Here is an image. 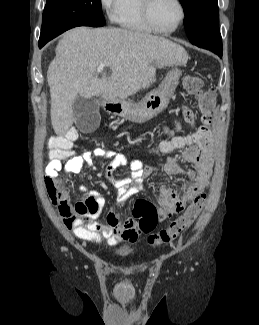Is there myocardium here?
Listing matches in <instances>:
<instances>
[{"label":"myocardium","instance_id":"f54148a6","mask_svg":"<svg viewBox=\"0 0 259 325\" xmlns=\"http://www.w3.org/2000/svg\"><path fill=\"white\" fill-rule=\"evenodd\" d=\"M176 3L178 4L179 10H180V17L176 23V25L170 29V30H162L158 28L152 18V6L154 3V0H142V12H143V17L147 23V25L154 31L160 34L164 35H169L174 33L183 23L185 16H186V11H185V6L181 0H175Z\"/></svg>","mask_w":259,"mask_h":325}]
</instances>
